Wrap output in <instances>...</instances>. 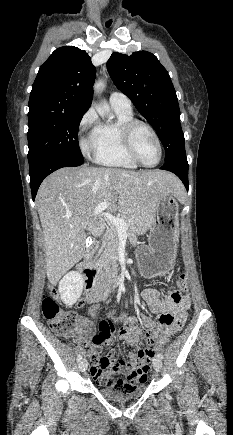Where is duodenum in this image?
I'll list each match as a JSON object with an SVG mask.
<instances>
[{
    "instance_id": "duodenum-1",
    "label": "duodenum",
    "mask_w": 233,
    "mask_h": 435,
    "mask_svg": "<svg viewBox=\"0 0 233 435\" xmlns=\"http://www.w3.org/2000/svg\"><path fill=\"white\" fill-rule=\"evenodd\" d=\"M99 248V243L94 242L87 250L78 269L86 277L85 284V300L88 303L97 302L103 299L107 294L108 285L120 276V267L111 269L105 274H102L98 267L92 264L94 253ZM102 284L105 285L102 288Z\"/></svg>"
}]
</instances>
